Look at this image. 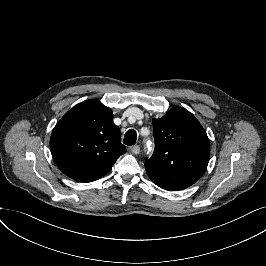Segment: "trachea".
Instances as JSON below:
<instances>
[{"instance_id": "1", "label": "trachea", "mask_w": 266, "mask_h": 266, "mask_svg": "<svg viewBox=\"0 0 266 266\" xmlns=\"http://www.w3.org/2000/svg\"><path fill=\"white\" fill-rule=\"evenodd\" d=\"M137 134L135 130H128L124 136L123 143L126 145H134L136 143Z\"/></svg>"}]
</instances>
